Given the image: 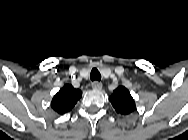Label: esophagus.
I'll return each mask as SVG.
<instances>
[{
  "mask_svg": "<svg viewBox=\"0 0 188 140\" xmlns=\"http://www.w3.org/2000/svg\"><path fill=\"white\" fill-rule=\"evenodd\" d=\"M102 83L101 82H99V81H94L93 83H92V88L94 89V90H101L102 89Z\"/></svg>",
  "mask_w": 188,
  "mask_h": 140,
  "instance_id": "34e87169",
  "label": "esophagus"
}]
</instances>
